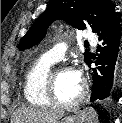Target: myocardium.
<instances>
[{
	"label": "myocardium",
	"instance_id": "f54148a6",
	"mask_svg": "<svg viewBox=\"0 0 122 123\" xmlns=\"http://www.w3.org/2000/svg\"><path fill=\"white\" fill-rule=\"evenodd\" d=\"M71 69L69 66H58L49 71L46 83V95L49 101L56 106L60 107H73L79 104L85 97L87 93V82L82 80V87L79 94L70 101H62L57 97L56 94V74L60 70H68Z\"/></svg>",
	"mask_w": 122,
	"mask_h": 123
}]
</instances>
